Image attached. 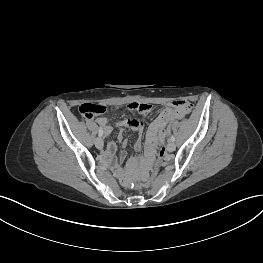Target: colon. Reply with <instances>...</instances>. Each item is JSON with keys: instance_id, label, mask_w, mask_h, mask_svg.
I'll return each instance as SVG.
<instances>
[{"instance_id": "colon-1", "label": "colon", "mask_w": 263, "mask_h": 263, "mask_svg": "<svg viewBox=\"0 0 263 263\" xmlns=\"http://www.w3.org/2000/svg\"><path fill=\"white\" fill-rule=\"evenodd\" d=\"M175 108L182 107L185 110V114L190 111L191 105L189 102L185 100L181 101H175L172 103ZM106 106L101 104H93V103H86L79 107V113L83 118H91L92 116L102 114L106 111ZM124 110L127 113H136L139 112L141 115H147L151 113L154 110V107L145 101H140L138 103L136 102H127L124 105ZM172 134V125H167V132L163 139V144H168V142L171 139ZM158 155L160 157V160L156 163L154 167L153 173L150 175L149 179L145 182L141 183H133L130 185L131 189H137V188H146L150 187L152 183H154V180L156 178V175L158 173V169L160 168L161 162L165 156V148L162 147L158 151Z\"/></svg>"}]
</instances>
